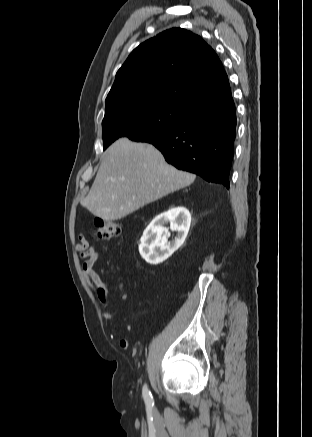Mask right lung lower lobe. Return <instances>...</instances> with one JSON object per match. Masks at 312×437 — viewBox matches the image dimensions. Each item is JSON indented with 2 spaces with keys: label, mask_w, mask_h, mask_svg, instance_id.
Returning a JSON list of instances; mask_svg holds the SVG:
<instances>
[{
  "label": "right lung lower lobe",
  "mask_w": 312,
  "mask_h": 437,
  "mask_svg": "<svg viewBox=\"0 0 312 437\" xmlns=\"http://www.w3.org/2000/svg\"><path fill=\"white\" fill-rule=\"evenodd\" d=\"M235 133L236 109L229 86L220 96L190 110L177 128L144 142L157 147L178 169L229 188Z\"/></svg>",
  "instance_id": "98d812e1"
}]
</instances>
